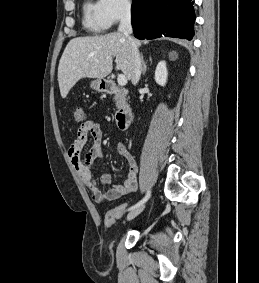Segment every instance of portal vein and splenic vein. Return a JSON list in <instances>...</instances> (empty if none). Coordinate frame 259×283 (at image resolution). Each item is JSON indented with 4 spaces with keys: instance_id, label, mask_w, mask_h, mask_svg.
Wrapping results in <instances>:
<instances>
[{
    "instance_id": "obj_1",
    "label": "portal vein and splenic vein",
    "mask_w": 259,
    "mask_h": 283,
    "mask_svg": "<svg viewBox=\"0 0 259 283\" xmlns=\"http://www.w3.org/2000/svg\"><path fill=\"white\" fill-rule=\"evenodd\" d=\"M117 81L120 86H125L127 84V78L123 74L118 75Z\"/></svg>"
}]
</instances>
